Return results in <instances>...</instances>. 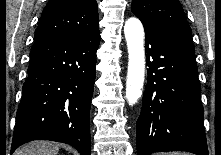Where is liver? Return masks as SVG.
Masks as SVG:
<instances>
[{
    "label": "liver",
    "instance_id": "6515ba94",
    "mask_svg": "<svg viewBox=\"0 0 221 155\" xmlns=\"http://www.w3.org/2000/svg\"><path fill=\"white\" fill-rule=\"evenodd\" d=\"M59 147L49 141H33L19 148L15 155H57Z\"/></svg>",
    "mask_w": 221,
    "mask_h": 155
}]
</instances>
